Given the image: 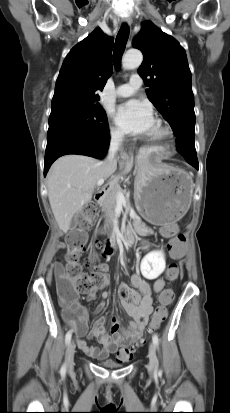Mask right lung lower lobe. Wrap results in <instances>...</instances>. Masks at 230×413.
I'll use <instances>...</instances> for the list:
<instances>
[{
	"instance_id": "1",
	"label": "right lung lower lobe",
	"mask_w": 230,
	"mask_h": 413,
	"mask_svg": "<svg viewBox=\"0 0 230 413\" xmlns=\"http://www.w3.org/2000/svg\"><path fill=\"white\" fill-rule=\"evenodd\" d=\"M110 141L109 133L101 138L71 139L57 142L46 147L44 175L52 163L59 157L67 154H79L101 159L106 155Z\"/></svg>"
}]
</instances>
